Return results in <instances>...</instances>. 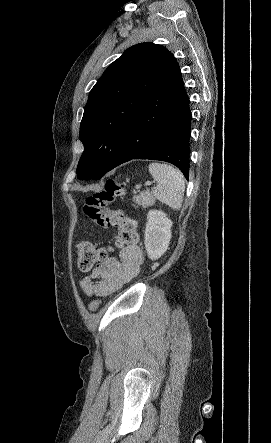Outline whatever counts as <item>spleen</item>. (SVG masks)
I'll use <instances>...</instances> for the list:
<instances>
[{
	"instance_id": "obj_1",
	"label": "spleen",
	"mask_w": 271,
	"mask_h": 443,
	"mask_svg": "<svg viewBox=\"0 0 271 443\" xmlns=\"http://www.w3.org/2000/svg\"><path fill=\"white\" fill-rule=\"evenodd\" d=\"M149 172L157 182L153 190L155 198L172 210H179L185 192L183 174L168 164H150Z\"/></svg>"
}]
</instances>
